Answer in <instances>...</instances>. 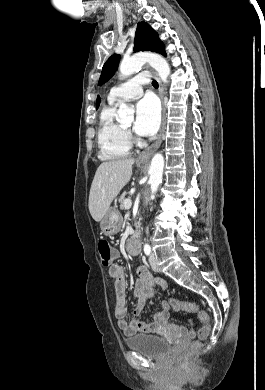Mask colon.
Masks as SVG:
<instances>
[{
	"label": "colon",
	"mask_w": 265,
	"mask_h": 390,
	"mask_svg": "<svg viewBox=\"0 0 265 390\" xmlns=\"http://www.w3.org/2000/svg\"><path fill=\"white\" fill-rule=\"evenodd\" d=\"M98 251L102 265L105 267L110 266L114 260V251L109 242H107L106 240L99 241ZM168 302L170 307L178 312H196L198 309L195 303L180 301L175 298H170ZM199 319L202 323V326L198 331L199 340L192 342L187 351L184 353V355L182 356V360L184 362H189L197 354L201 347L200 340L206 339L210 333L209 316L205 312H200Z\"/></svg>",
	"instance_id": "colon-1"
}]
</instances>
